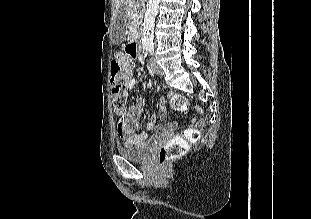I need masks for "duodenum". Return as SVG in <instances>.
<instances>
[{"instance_id": "duodenum-1", "label": "duodenum", "mask_w": 311, "mask_h": 219, "mask_svg": "<svg viewBox=\"0 0 311 219\" xmlns=\"http://www.w3.org/2000/svg\"><path fill=\"white\" fill-rule=\"evenodd\" d=\"M129 48H136V49H141V41L138 36H134L131 40V43L129 45Z\"/></svg>"}]
</instances>
